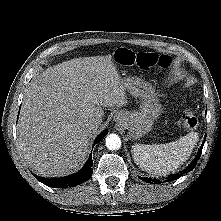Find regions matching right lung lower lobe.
Returning <instances> with one entry per match:
<instances>
[{"instance_id": "98d812e1", "label": "right lung lower lobe", "mask_w": 221, "mask_h": 221, "mask_svg": "<svg viewBox=\"0 0 221 221\" xmlns=\"http://www.w3.org/2000/svg\"><path fill=\"white\" fill-rule=\"evenodd\" d=\"M107 135V130L103 131L95 140L96 143L100 142L105 136ZM93 165L92 157L90 156L84 167L77 172L76 174H72L66 177L61 178H43L40 176L34 175L41 183L53 187V188H66V187H73L80 183L87 181L93 172L91 168Z\"/></svg>"}]
</instances>
